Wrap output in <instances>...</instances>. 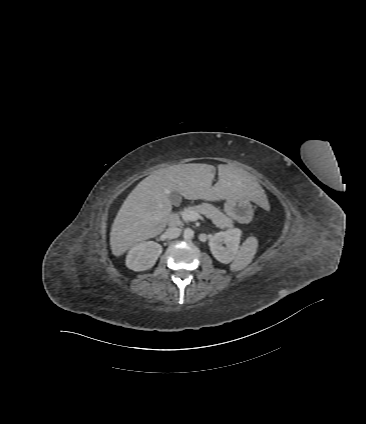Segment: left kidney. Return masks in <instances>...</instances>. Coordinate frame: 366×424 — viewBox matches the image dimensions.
Wrapping results in <instances>:
<instances>
[{"label":"left kidney","mask_w":366,"mask_h":424,"mask_svg":"<svg viewBox=\"0 0 366 424\" xmlns=\"http://www.w3.org/2000/svg\"><path fill=\"white\" fill-rule=\"evenodd\" d=\"M240 239L241 231L239 229L218 232L210 237V251L219 262L228 264L238 253ZM223 244L226 246L224 247Z\"/></svg>","instance_id":"obj_1"}]
</instances>
